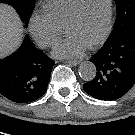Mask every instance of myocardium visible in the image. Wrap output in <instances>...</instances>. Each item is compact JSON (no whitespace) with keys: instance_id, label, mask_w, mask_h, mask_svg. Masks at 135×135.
<instances>
[{"instance_id":"f54148a6","label":"myocardium","mask_w":135,"mask_h":135,"mask_svg":"<svg viewBox=\"0 0 135 135\" xmlns=\"http://www.w3.org/2000/svg\"><path fill=\"white\" fill-rule=\"evenodd\" d=\"M83 1L84 0H77L75 2L72 8V11L70 12V14L68 15V17L66 18L63 24L64 28L68 23H70L72 20L76 18ZM112 22H113V0H108V16H107L106 27L103 33L100 35V37H98L95 41H93L92 43L88 45L89 48H95L99 46L100 44H102L107 39L112 29Z\"/></svg>"}]
</instances>
